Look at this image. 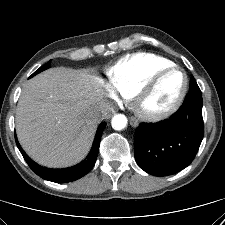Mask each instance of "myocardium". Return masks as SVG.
I'll return each instance as SVG.
<instances>
[{
	"label": "myocardium",
	"mask_w": 225,
	"mask_h": 225,
	"mask_svg": "<svg viewBox=\"0 0 225 225\" xmlns=\"http://www.w3.org/2000/svg\"><path fill=\"white\" fill-rule=\"evenodd\" d=\"M178 72L182 76L181 85L176 93L175 97L166 107L150 111L144 108V101L146 98L154 91L158 83L167 75ZM188 89V77L186 72L177 65H172L170 67L164 68L155 74H153L135 93L134 99V109L137 115L146 121L157 122L164 120L171 115H173L181 106L184 98L187 94Z\"/></svg>",
	"instance_id": "1"
}]
</instances>
